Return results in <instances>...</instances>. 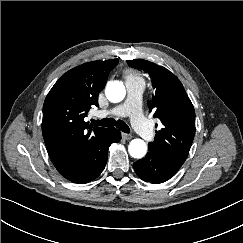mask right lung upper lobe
I'll return each instance as SVG.
<instances>
[{"instance_id": "right-lung-upper-lobe-1", "label": "right lung upper lobe", "mask_w": 243, "mask_h": 243, "mask_svg": "<svg viewBox=\"0 0 243 243\" xmlns=\"http://www.w3.org/2000/svg\"><path fill=\"white\" fill-rule=\"evenodd\" d=\"M117 63L118 59H110L77 66L46 96L42 133L52 161L82 159L102 142L109 128H92L83 119L91 106H98V93Z\"/></svg>"}]
</instances>
